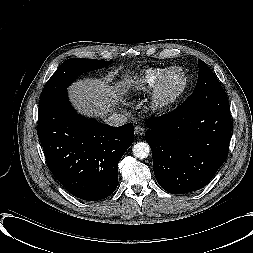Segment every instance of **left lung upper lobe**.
<instances>
[{
    "mask_svg": "<svg viewBox=\"0 0 253 253\" xmlns=\"http://www.w3.org/2000/svg\"><path fill=\"white\" fill-rule=\"evenodd\" d=\"M199 73L196 87L191 94V97H195L201 102H206L213 97L219 91H222L223 88L213 74V72L209 69L205 62L198 59Z\"/></svg>",
    "mask_w": 253,
    "mask_h": 253,
    "instance_id": "left-lung-upper-lobe-1",
    "label": "left lung upper lobe"
}]
</instances>
